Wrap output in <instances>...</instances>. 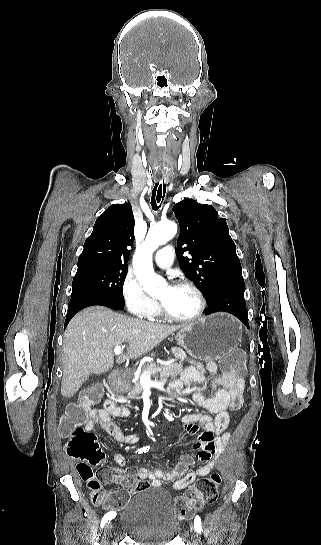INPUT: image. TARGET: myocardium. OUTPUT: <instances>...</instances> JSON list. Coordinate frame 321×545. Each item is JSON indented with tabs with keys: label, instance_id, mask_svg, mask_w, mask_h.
<instances>
[{
	"label": "myocardium",
	"instance_id": "myocardium-1",
	"mask_svg": "<svg viewBox=\"0 0 321 545\" xmlns=\"http://www.w3.org/2000/svg\"><path fill=\"white\" fill-rule=\"evenodd\" d=\"M173 287L179 288V289H189L193 291L196 294L199 301L198 309L194 315L188 316V317H182L167 311L162 305H159V310L161 314L166 319L170 321H174V322H179V323H192V322H196L200 320L202 316L204 315L207 308V299L203 291L196 284L187 280L179 281Z\"/></svg>",
	"mask_w": 321,
	"mask_h": 545
}]
</instances>
